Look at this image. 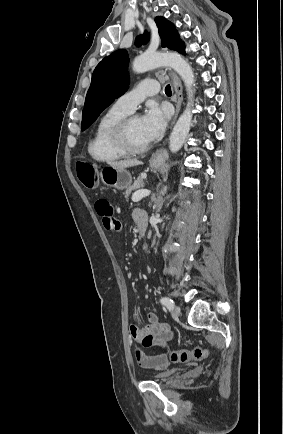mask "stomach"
Returning <instances> with one entry per match:
<instances>
[{"label": "stomach", "mask_w": 283, "mask_h": 434, "mask_svg": "<svg viewBox=\"0 0 283 434\" xmlns=\"http://www.w3.org/2000/svg\"><path fill=\"white\" fill-rule=\"evenodd\" d=\"M162 160L151 159L150 166L152 169L156 170L162 165ZM102 182L109 186L116 188L118 190H124L131 185L132 177L129 171L126 169L114 168L111 166H106L103 168Z\"/></svg>", "instance_id": "0dacf381"}]
</instances>
